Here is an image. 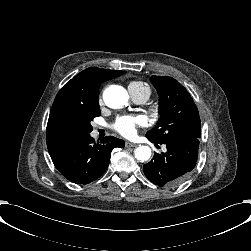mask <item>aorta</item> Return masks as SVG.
<instances>
[{
	"label": "aorta",
	"instance_id": "aorta-1",
	"mask_svg": "<svg viewBox=\"0 0 251 251\" xmlns=\"http://www.w3.org/2000/svg\"><path fill=\"white\" fill-rule=\"evenodd\" d=\"M104 101L112 109H123L129 105V94L121 86H111L104 91ZM134 152L135 158L140 162H145L151 157L149 146H139Z\"/></svg>",
	"mask_w": 251,
	"mask_h": 251
}]
</instances>
